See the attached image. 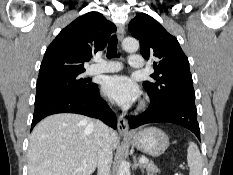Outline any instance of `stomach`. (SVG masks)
<instances>
[{"label": "stomach", "mask_w": 233, "mask_h": 175, "mask_svg": "<svg viewBox=\"0 0 233 175\" xmlns=\"http://www.w3.org/2000/svg\"><path fill=\"white\" fill-rule=\"evenodd\" d=\"M127 139L137 149L153 157L163 154L169 146L168 136L156 127L140 129Z\"/></svg>", "instance_id": "0dacf381"}]
</instances>
